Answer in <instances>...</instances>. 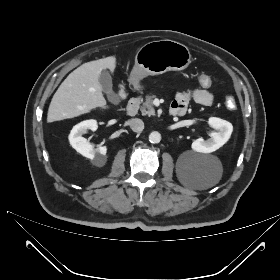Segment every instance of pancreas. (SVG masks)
<instances>
[{
  "label": "pancreas",
  "instance_id": "cf45deb5",
  "mask_svg": "<svg viewBox=\"0 0 280 280\" xmlns=\"http://www.w3.org/2000/svg\"><path fill=\"white\" fill-rule=\"evenodd\" d=\"M155 97H156L155 95H151V94L145 97V101L143 102L140 108L142 115H148V116L155 115V109L153 107V99Z\"/></svg>",
  "mask_w": 280,
  "mask_h": 280
}]
</instances>
